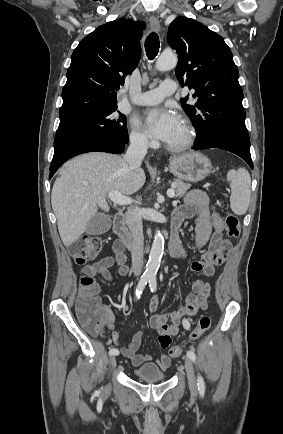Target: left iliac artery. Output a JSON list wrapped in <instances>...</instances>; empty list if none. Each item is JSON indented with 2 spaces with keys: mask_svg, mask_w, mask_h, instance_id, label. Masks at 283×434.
<instances>
[{
  "mask_svg": "<svg viewBox=\"0 0 283 434\" xmlns=\"http://www.w3.org/2000/svg\"><path fill=\"white\" fill-rule=\"evenodd\" d=\"M149 287H150L151 292H155L157 289V281H156V278L154 276L149 278ZM183 325L186 329H188L190 326L189 322L187 320L183 321ZM187 356L189 359H191L193 362H195L196 355L193 351H187ZM197 386H198V390L200 392L205 391V383H204V380H203L201 375H198Z\"/></svg>",
  "mask_w": 283,
  "mask_h": 434,
  "instance_id": "obj_1",
  "label": "left iliac artery"
}]
</instances>
